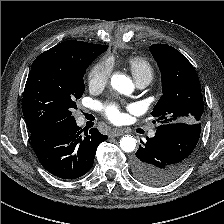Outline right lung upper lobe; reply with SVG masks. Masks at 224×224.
Wrapping results in <instances>:
<instances>
[{"mask_svg":"<svg viewBox=\"0 0 224 224\" xmlns=\"http://www.w3.org/2000/svg\"><path fill=\"white\" fill-rule=\"evenodd\" d=\"M105 45L68 40L40 54L32 65L47 62L70 63L82 62L101 53Z\"/></svg>","mask_w":224,"mask_h":224,"instance_id":"cb5924a9","label":"right lung upper lobe"}]
</instances>
